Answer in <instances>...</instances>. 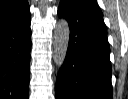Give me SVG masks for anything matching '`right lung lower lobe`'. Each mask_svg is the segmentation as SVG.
I'll return each instance as SVG.
<instances>
[{
	"label": "right lung lower lobe",
	"mask_w": 128,
	"mask_h": 99,
	"mask_svg": "<svg viewBox=\"0 0 128 99\" xmlns=\"http://www.w3.org/2000/svg\"><path fill=\"white\" fill-rule=\"evenodd\" d=\"M30 8L0 25V99L29 98Z\"/></svg>",
	"instance_id": "obj_1"
}]
</instances>
